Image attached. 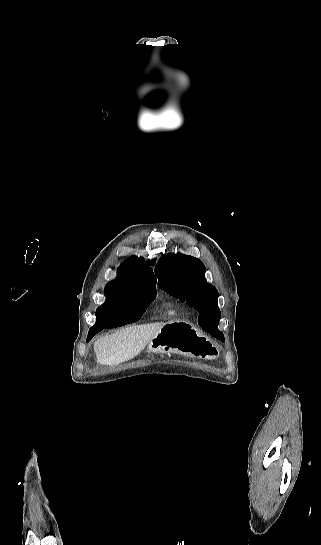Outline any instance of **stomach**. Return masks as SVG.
Instances as JSON below:
<instances>
[{"mask_svg":"<svg viewBox=\"0 0 321 545\" xmlns=\"http://www.w3.org/2000/svg\"><path fill=\"white\" fill-rule=\"evenodd\" d=\"M149 353H176V355H190L198 359L215 357L211 353V343L201 331L191 323L172 321L165 323L159 333L149 341Z\"/></svg>","mask_w":321,"mask_h":545,"instance_id":"1","label":"stomach"}]
</instances>
